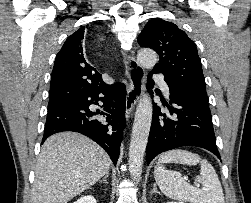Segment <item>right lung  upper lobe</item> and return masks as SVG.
I'll return each instance as SVG.
<instances>
[{
	"label": "right lung upper lobe",
	"instance_id": "cb5924a9",
	"mask_svg": "<svg viewBox=\"0 0 251 203\" xmlns=\"http://www.w3.org/2000/svg\"><path fill=\"white\" fill-rule=\"evenodd\" d=\"M87 27H81L69 36L57 54L48 109L73 100L89 88L106 84L101 74L85 60L82 40Z\"/></svg>",
	"mask_w": 251,
	"mask_h": 203
}]
</instances>
